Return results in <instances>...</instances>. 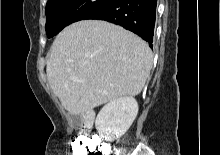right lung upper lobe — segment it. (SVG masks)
I'll list each match as a JSON object with an SVG mask.
<instances>
[{
    "instance_id": "right-lung-upper-lobe-1",
    "label": "right lung upper lobe",
    "mask_w": 220,
    "mask_h": 155,
    "mask_svg": "<svg viewBox=\"0 0 220 155\" xmlns=\"http://www.w3.org/2000/svg\"><path fill=\"white\" fill-rule=\"evenodd\" d=\"M52 0H48L47 3L51 2Z\"/></svg>"
}]
</instances>
